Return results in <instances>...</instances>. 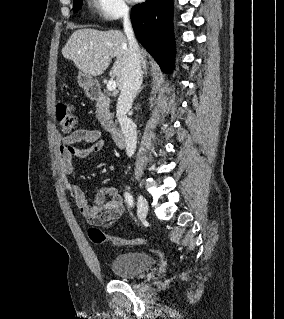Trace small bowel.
Wrapping results in <instances>:
<instances>
[{
  "instance_id": "obj_1",
  "label": "small bowel",
  "mask_w": 284,
  "mask_h": 319,
  "mask_svg": "<svg viewBox=\"0 0 284 319\" xmlns=\"http://www.w3.org/2000/svg\"><path fill=\"white\" fill-rule=\"evenodd\" d=\"M89 144L86 148L79 147V143ZM61 169L64 175L72 174L74 170L73 158H87L99 153L104 148V141L95 129H80L59 138ZM75 204L89 225L103 226L108 229L115 225L124 212L122 197L114 187L100 188L93 200L89 202L84 191L76 184L67 182ZM109 197V199H107Z\"/></svg>"
}]
</instances>
